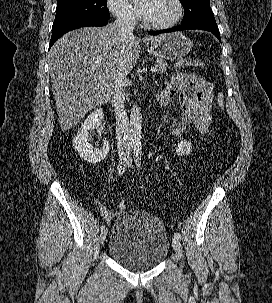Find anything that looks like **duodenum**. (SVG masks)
<instances>
[{
	"mask_svg": "<svg viewBox=\"0 0 272 303\" xmlns=\"http://www.w3.org/2000/svg\"><path fill=\"white\" fill-rule=\"evenodd\" d=\"M170 101L171 96L165 90H163L161 93H159L156 97L153 98V102L159 107L165 106Z\"/></svg>",
	"mask_w": 272,
	"mask_h": 303,
	"instance_id": "duodenum-1",
	"label": "duodenum"
}]
</instances>
